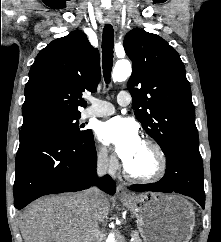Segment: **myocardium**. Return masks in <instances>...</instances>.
Returning a JSON list of instances; mask_svg holds the SVG:
<instances>
[{"label": "myocardium", "mask_w": 221, "mask_h": 242, "mask_svg": "<svg viewBox=\"0 0 221 242\" xmlns=\"http://www.w3.org/2000/svg\"><path fill=\"white\" fill-rule=\"evenodd\" d=\"M142 143L148 146L153 153V157L155 160V166L153 170L150 173L139 174V173L133 172L128 167V165L124 163V171L130 179L137 182L151 183V182L158 181L163 177V175L166 172V168H167L166 155L162 147L156 141L150 138H146L142 140Z\"/></svg>", "instance_id": "f54148a6"}]
</instances>
